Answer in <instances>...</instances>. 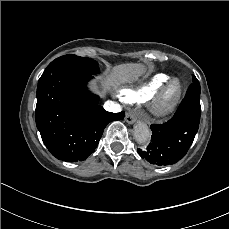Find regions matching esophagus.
Returning <instances> with one entry per match:
<instances>
[{
  "label": "esophagus",
  "instance_id": "esophagus-1",
  "mask_svg": "<svg viewBox=\"0 0 229 229\" xmlns=\"http://www.w3.org/2000/svg\"><path fill=\"white\" fill-rule=\"evenodd\" d=\"M137 114L135 111L131 110L126 113L125 121L129 124H133L137 119Z\"/></svg>",
  "mask_w": 229,
  "mask_h": 229
}]
</instances>
